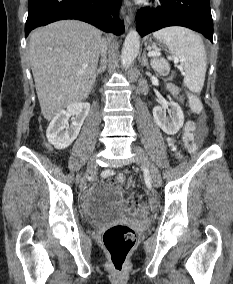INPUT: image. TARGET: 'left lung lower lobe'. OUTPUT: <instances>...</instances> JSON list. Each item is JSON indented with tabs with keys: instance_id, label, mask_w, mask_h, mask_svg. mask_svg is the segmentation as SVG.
<instances>
[{
	"instance_id": "0a47b994",
	"label": "left lung lower lobe",
	"mask_w": 233,
	"mask_h": 284,
	"mask_svg": "<svg viewBox=\"0 0 233 284\" xmlns=\"http://www.w3.org/2000/svg\"><path fill=\"white\" fill-rule=\"evenodd\" d=\"M168 26L190 28L213 42L210 0H162V6L137 12L136 27L141 36Z\"/></svg>"
}]
</instances>
